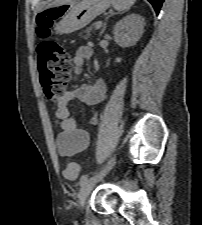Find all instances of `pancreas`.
I'll return each mask as SVG.
<instances>
[{
  "label": "pancreas",
  "mask_w": 202,
  "mask_h": 225,
  "mask_svg": "<svg viewBox=\"0 0 202 225\" xmlns=\"http://www.w3.org/2000/svg\"><path fill=\"white\" fill-rule=\"evenodd\" d=\"M95 25H96V24H94L93 26L89 27V28L86 30V32H87V33H90V31H91L93 28H95Z\"/></svg>",
  "instance_id": "1"
}]
</instances>
